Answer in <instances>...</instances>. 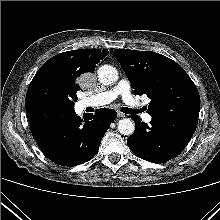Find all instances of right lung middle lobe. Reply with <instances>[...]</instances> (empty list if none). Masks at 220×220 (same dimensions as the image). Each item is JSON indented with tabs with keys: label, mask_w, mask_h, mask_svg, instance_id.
Wrapping results in <instances>:
<instances>
[{
	"label": "right lung middle lobe",
	"mask_w": 220,
	"mask_h": 220,
	"mask_svg": "<svg viewBox=\"0 0 220 220\" xmlns=\"http://www.w3.org/2000/svg\"><path fill=\"white\" fill-rule=\"evenodd\" d=\"M80 90L77 78L57 73L36 74L31 81L26 100L40 99L63 104L74 108L77 101V91Z\"/></svg>",
	"instance_id": "right-lung-middle-lobe-1"
}]
</instances>
